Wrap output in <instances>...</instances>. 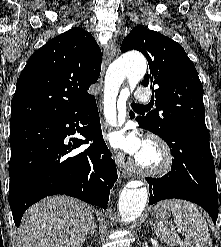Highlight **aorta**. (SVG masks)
I'll return each mask as SVG.
<instances>
[{
  "instance_id": "1",
  "label": "aorta",
  "mask_w": 221,
  "mask_h": 247,
  "mask_svg": "<svg viewBox=\"0 0 221 247\" xmlns=\"http://www.w3.org/2000/svg\"><path fill=\"white\" fill-rule=\"evenodd\" d=\"M146 70V59L137 52L128 53L109 66L105 76L104 112L112 125L116 124V99L122 82L127 78L132 86L145 75ZM147 199L146 187L124 188L118 201L121 221L129 223L140 216L146 206Z\"/></svg>"
}]
</instances>
